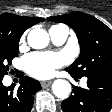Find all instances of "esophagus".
<instances>
[{"label": "esophagus", "mask_w": 112, "mask_h": 112, "mask_svg": "<svg viewBox=\"0 0 112 112\" xmlns=\"http://www.w3.org/2000/svg\"><path fill=\"white\" fill-rule=\"evenodd\" d=\"M52 81H42L41 86L43 88L49 87L51 85Z\"/></svg>", "instance_id": "1"}]
</instances>
